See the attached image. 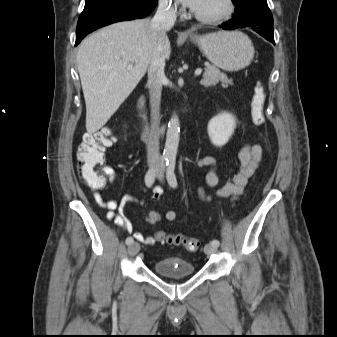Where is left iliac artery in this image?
I'll return each instance as SVG.
<instances>
[{"instance_id":"left-iliac-artery-1","label":"left iliac artery","mask_w":337,"mask_h":337,"mask_svg":"<svg viewBox=\"0 0 337 337\" xmlns=\"http://www.w3.org/2000/svg\"><path fill=\"white\" fill-rule=\"evenodd\" d=\"M175 164H176V157L174 155L169 156L167 160V180L169 185L173 188L177 187V179L174 173ZM211 244L213 246L218 247L220 243L218 240L214 239L211 241Z\"/></svg>"}]
</instances>
